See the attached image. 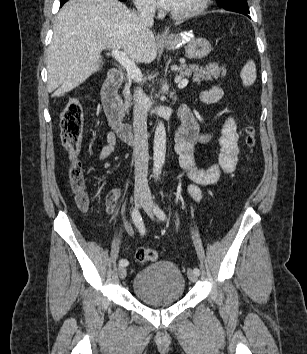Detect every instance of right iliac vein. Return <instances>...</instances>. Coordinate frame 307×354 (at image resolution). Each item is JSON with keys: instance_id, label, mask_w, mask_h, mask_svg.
I'll return each instance as SVG.
<instances>
[{"instance_id": "1", "label": "right iliac vein", "mask_w": 307, "mask_h": 354, "mask_svg": "<svg viewBox=\"0 0 307 354\" xmlns=\"http://www.w3.org/2000/svg\"><path fill=\"white\" fill-rule=\"evenodd\" d=\"M145 197L142 195H136L135 197V206L136 207H142L143 204L145 203ZM118 272H119V276L121 279H125L126 275H127V271L126 268L124 266H120L118 268Z\"/></svg>"}]
</instances>
